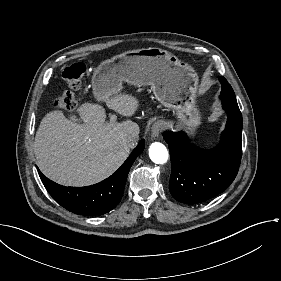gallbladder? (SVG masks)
<instances>
[{"instance_id": "1", "label": "gallbladder", "mask_w": 281, "mask_h": 281, "mask_svg": "<svg viewBox=\"0 0 281 281\" xmlns=\"http://www.w3.org/2000/svg\"><path fill=\"white\" fill-rule=\"evenodd\" d=\"M70 118L73 120L76 119L77 117L75 115H70Z\"/></svg>"}]
</instances>
